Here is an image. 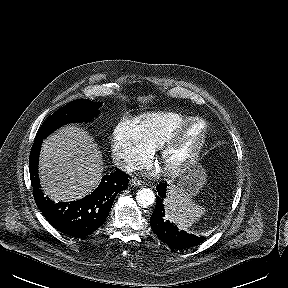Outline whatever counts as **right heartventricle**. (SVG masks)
I'll return each mask as SVG.
<instances>
[{"instance_id":"obj_1","label":"right heart ventricle","mask_w":288,"mask_h":288,"mask_svg":"<svg viewBox=\"0 0 288 288\" xmlns=\"http://www.w3.org/2000/svg\"><path fill=\"white\" fill-rule=\"evenodd\" d=\"M189 116L176 112H153L138 118L144 138L153 147L160 146L162 140L178 126L185 123Z\"/></svg>"}]
</instances>
